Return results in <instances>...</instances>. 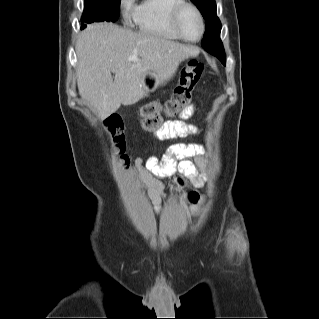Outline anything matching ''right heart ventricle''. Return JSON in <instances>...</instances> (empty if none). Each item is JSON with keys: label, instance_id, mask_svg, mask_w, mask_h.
Returning <instances> with one entry per match:
<instances>
[{"label": "right heart ventricle", "instance_id": "obj_1", "mask_svg": "<svg viewBox=\"0 0 319 319\" xmlns=\"http://www.w3.org/2000/svg\"><path fill=\"white\" fill-rule=\"evenodd\" d=\"M183 0H142L131 12L139 30L157 37L176 40L169 25L172 9Z\"/></svg>", "mask_w": 319, "mask_h": 319}]
</instances>
